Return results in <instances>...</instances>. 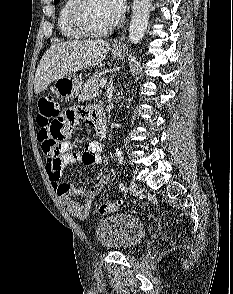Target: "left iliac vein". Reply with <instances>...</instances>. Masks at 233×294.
Masks as SVG:
<instances>
[{"label": "left iliac vein", "mask_w": 233, "mask_h": 294, "mask_svg": "<svg viewBox=\"0 0 233 294\" xmlns=\"http://www.w3.org/2000/svg\"><path fill=\"white\" fill-rule=\"evenodd\" d=\"M130 190L135 195L136 198H139L140 194H142V192H143V190L141 188H138V186L134 180H131V182H130Z\"/></svg>", "instance_id": "4c4485c4"}]
</instances>
